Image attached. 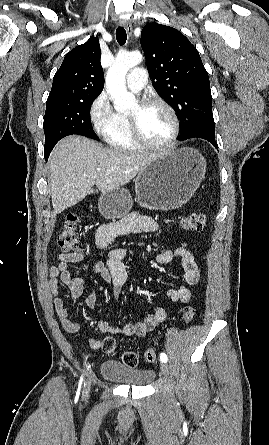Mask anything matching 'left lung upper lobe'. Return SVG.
I'll return each instance as SVG.
<instances>
[{
  "label": "left lung upper lobe",
  "mask_w": 269,
  "mask_h": 445,
  "mask_svg": "<svg viewBox=\"0 0 269 445\" xmlns=\"http://www.w3.org/2000/svg\"><path fill=\"white\" fill-rule=\"evenodd\" d=\"M141 46L153 87L180 119L179 140L215 134L209 77L196 47L177 29L158 23L144 26Z\"/></svg>",
  "instance_id": "obj_1"
}]
</instances>
